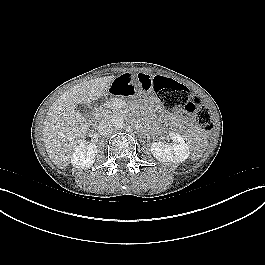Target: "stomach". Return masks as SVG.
I'll use <instances>...</instances> for the list:
<instances>
[{
	"instance_id": "stomach-1",
	"label": "stomach",
	"mask_w": 265,
	"mask_h": 265,
	"mask_svg": "<svg viewBox=\"0 0 265 265\" xmlns=\"http://www.w3.org/2000/svg\"><path fill=\"white\" fill-rule=\"evenodd\" d=\"M131 81L136 93H145L150 88V79L145 74H136Z\"/></svg>"
}]
</instances>
